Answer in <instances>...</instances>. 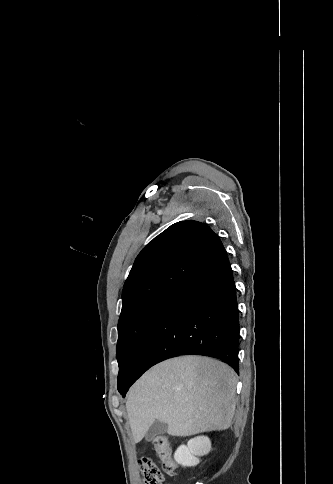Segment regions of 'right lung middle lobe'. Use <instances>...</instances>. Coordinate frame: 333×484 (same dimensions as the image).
<instances>
[{"label":"right lung middle lobe","instance_id":"obj_1","mask_svg":"<svg viewBox=\"0 0 333 484\" xmlns=\"http://www.w3.org/2000/svg\"><path fill=\"white\" fill-rule=\"evenodd\" d=\"M172 293H159L120 316L116 348L119 364L118 390L126 386L136 349L156 314Z\"/></svg>","mask_w":333,"mask_h":484}]
</instances>
